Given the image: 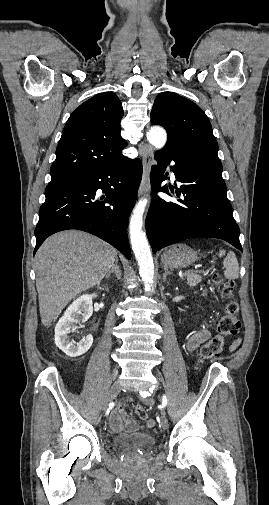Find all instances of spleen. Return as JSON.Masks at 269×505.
<instances>
[{
	"label": "spleen",
	"instance_id": "obj_1",
	"mask_svg": "<svg viewBox=\"0 0 269 505\" xmlns=\"http://www.w3.org/2000/svg\"><path fill=\"white\" fill-rule=\"evenodd\" d=\"M226 254L224 249L219 250V257ZM223 266L225 268L224 276L226 279L235 280L239 277V264L234 252L230 251L223 261Z\"/></svg>",
	"mask_w": 269,
	"mask_h": 505
}]
</instances>
